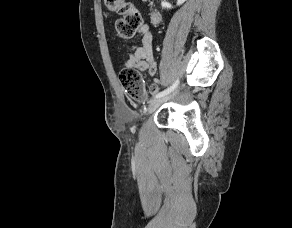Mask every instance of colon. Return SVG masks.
<instances>
[{
    "label": "colon",
    "mask_w": 292,
    "mask_h": 228,
    "mask_svg": "<svg viewBox=\"0 0 292 228\" xmlns=\"http://www.w3.org/2000/svg\"><path fill=\"white\" fill-rule=\"evenodd\" d=\"M106 8L121 17L116 21L115 30L119 38L129 39L144 25L142 14L127 0H104ZM155 23L159 17L153 15ZM120 83L125 93L133 100L142 102L146 99V90L143 85L141 73L132 67L121 70Z\"/></svg>",
    "instance_id": "1"
}]
</instances>
